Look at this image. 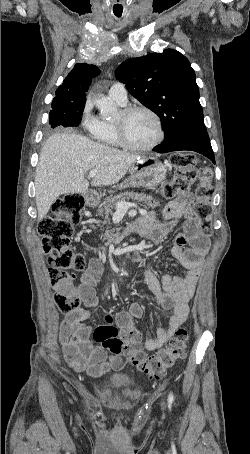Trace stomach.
<instances>
[{
    "label": "stomach",
    "mask_w": 250,
    "mask_h": 454,
    "mask_svg": "<svg viewBox=\"0 0 250 454\" xmlns=\"http://www.w3.org/2000/svg\"><path fill=\"white\" fill-rule=\"evenodd\" d=\"M166 171V165L155 157H141L129 169L131 176L128 184L134 187L157 186L165 179Z\"/></svg>",
    "instance_id": "obj_1"
}]
</instances>
